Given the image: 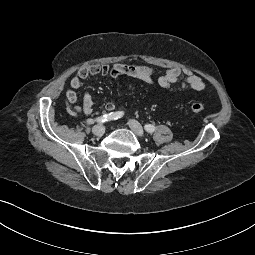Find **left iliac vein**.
<instances>
[{
    "instance_id": "left-iliac-vein-1",
    "label": "left iliac vein",
    "mask_w": 255,
    "mask_h": 255,
    "mask_svg": "<svg viewBox=\"0 0 255 255\" xmlns=\"http://www.w3.org/2000/svg\"><path fill=\"white\" fill-rule=\"evenodd\" d=\"M129 127L139 137H144V130L140 123L134 119L129 120Z\"/></svg>"
}]
</instances>
